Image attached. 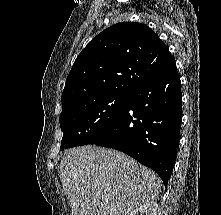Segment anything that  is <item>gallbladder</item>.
<instances>
[{"mask_svg": "<svg viewBox=\"0 0 221 215\" xmlns=\"http://www.w3.org/2000/svg\"><path fill=\"white\" fill-rule=\"evenodd\" d=\"M83 215H97V209H93L91 212L85 213Z\"/></svg>", "mask_w": 221, "mask_h": 215, "instance_id": "obj_1", "label": "gallbladder"}]
</instances>
